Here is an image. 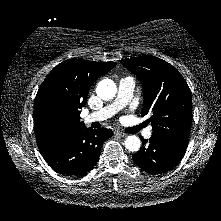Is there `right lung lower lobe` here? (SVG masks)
<instances>
[{
	"label": "right lung lower lobe",
	"instance_id": "1",
	"mask_svg": "<svg viewBox=\"0 0 221 221\" xmlns=\"http://www.w3.org/2000/svg\"><path fill=\"white\" fill-rule=\"evenodd\" d=\"M112 135L104 128H82L43 157L60 174L80 176L96 165L103 142Z\"/></svg>",
	"mask_w": 221,
	"mask_h": 221
}]
</instances>
